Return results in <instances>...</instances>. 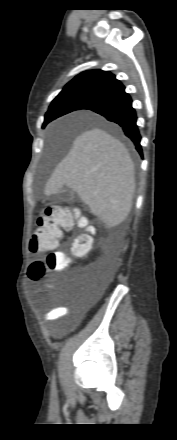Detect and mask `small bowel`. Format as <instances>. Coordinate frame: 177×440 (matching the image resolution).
<instances>
[{
	"label": "small bowel",
	"instance_id": "small-bowel-1",
	"mask_svg": "<svg viewBox=\"0 0 177 440\" xmlns=\"http://www.w3.org/2000/svg\"><path fill=\"white\" fill-rule=\"evenodd\" d=\"M31 276V275H30ZM32 278V276H31ZM71 316L72 321L70 322L69 326L72 327L75 322L79 319L77 316H72L71 310L67 306H59L51 309L49 312H47L44 316V320L47 322L56 321L62 317Z\"/></svg>",
	"mask_w": 177,
	"mask_h": 440
}]
</instances>
